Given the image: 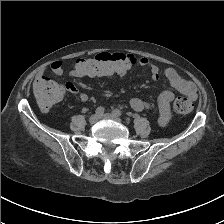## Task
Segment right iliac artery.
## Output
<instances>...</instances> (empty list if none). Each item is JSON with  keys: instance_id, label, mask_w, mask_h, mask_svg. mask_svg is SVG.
I'll return each mask as SVG.
<instances>
[{"instance_id": "1", "label": "right iliac artery", "mask_w": 224, "mask_h": 224, "mask_svg": "<svg viewBox=\"0 0 224 224\" xmlns=\"http://www.w3.org/2000/svg\"><path fill=\"white\" fill-rule=\"evenodd\" d=\"M105 109L103 107H98L95 111V113L98 115V116H102L103 113H104Z\"/></svg>"}]
</instances>
